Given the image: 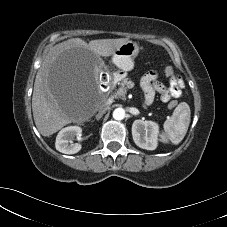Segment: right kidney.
<instances>
[{
  "instance_id": "obj_1",
  "label": "right kidney",
  "mask_w": 227,
  "mask_h": 227,
  "mask_svg": "<svg viewBox=\"0 0 227 227\" xmlns=\"http://www.w3.org/2000/svg\"><path fill=\"white\" fill-rule=\"evenodd\" d=\"M82 135V128L79 126H68L63 128L56 137L55 147L64 154H75L81 150L79 143H73L75 137Z\"/></svg>"
}]
</instances>
